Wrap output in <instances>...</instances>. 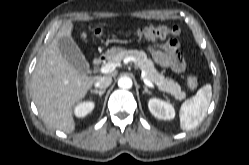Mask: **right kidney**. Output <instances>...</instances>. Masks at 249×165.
Listing matches in <instances>:
<instances>
[{
	"mask_svg": "<svg viewBox=\"0 0 249 165\" xmlns=\"http://www.w3.org/2000/svg\"><path fill=\"white\" fill-rule=\"evenodd\" d=\"M95 107L94 102H83L77 105L74 109V113L77 117H85L88 113H90Z\"/></svg>",
	"mask_w": 249,
	"mask_h": 165,
	"instance_id": "ca27d5eb",
	"label": "right kidney"
}]
</instances>
